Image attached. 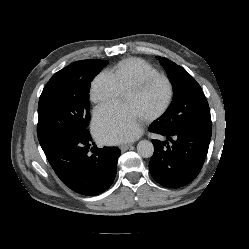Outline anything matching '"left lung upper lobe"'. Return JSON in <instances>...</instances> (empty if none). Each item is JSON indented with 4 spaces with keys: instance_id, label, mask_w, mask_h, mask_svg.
<instances>
[{
    "instance_id": "obj_1",
    "label": "left lung upper lobe",
    "mask_w": 249,
    "mask_h": 249,
    "mask_svg": "<svg viewBox=\"0 0 249 249\" xmlns=\"http://www.w3.org/2000/svg\"><path fill=\"white\" fill-rule=\"evenodd\" d=\"M173 86V101L167 111L155 120L167 133L212 127L208 102L200 85L182 67L164 57H157Z\"/></svg>"
}]
</instances>
